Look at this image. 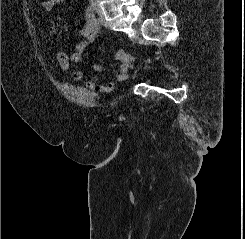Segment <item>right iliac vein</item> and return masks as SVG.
<instances>
[{"mask_svg": "<svg viewBox=\"0 0 245 239\" xmlns=\"http://www.w3.org/2000/svg\"><path fill=\"white\" fill-rule=\"evenodd\" d=\"M93 9L101 16L103 17V13L101 9L97 5H93Z\"/></svg>", "mask_w": 245, "mask_h": 239, "instance_id": "63e3f726", "label": "right iliac vein"}]
</instances>
